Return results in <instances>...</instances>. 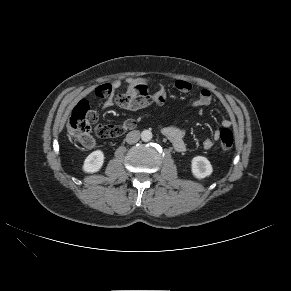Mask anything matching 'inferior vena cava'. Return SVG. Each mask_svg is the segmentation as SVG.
I'll use <instances>...</instances> for the list:
<instances>
[{
	"mask_svg": "<svg viewBox=\"0 0 291 291\" xmlns=\"http://www.w3.org/2000/svg\"><path fill=\"white\" fill-rule=\"evenodd\" d=\"M140 139V132L138 130H133L129 132L126 136V142L129 144H134Z\"/></svg>",
	"mask_w": 291,
	"mask_h": 291,
	"instance_id": "602c4592",
	"label": "inferior vena cava"
}]
</instances>
